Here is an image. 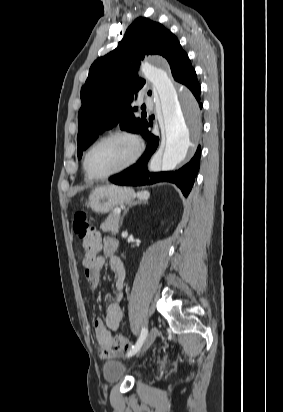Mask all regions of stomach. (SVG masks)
Here are the masks:
<instances>
[{
	"mask_svg": "<svg viewBox=\"0 0 283 412\" xmlns=\"http://www.w3.org/2000/svg\"><path fill=\"white\" fill-rule=\"evenodd\" d=\"M135 198L131 188L105 185L95 188L89 195L88 206L96 213H108L114 207L129 203Z\"/></svg>",
	"mask_w": 283,
	"mask_h": 412,
	"instance_id": "1",
	"label": "stomach"
}]
</instances>
